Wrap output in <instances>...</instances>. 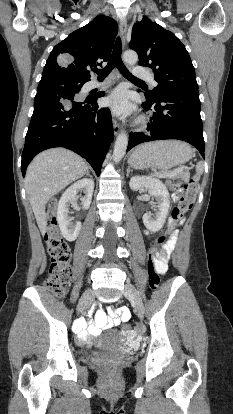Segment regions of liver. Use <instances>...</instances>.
I'll return each instance as SVG.
<instances>
[{"instance_id":"obj_1","label":"liver","mask_w":233,"mask_h":414,"mask_svg":"<svg viewBox=\"0 0 233 414\" xmlns=\"http://www.w3.org/2000/svg\"><path fill=\"white\" fill-rule=\"evenodd\" d=\"M88 171L89 166L82 157L64 148L43 151L29 164L25 189L42 234L46 232L47 202Z\"/></svg>"}]
</instances>
